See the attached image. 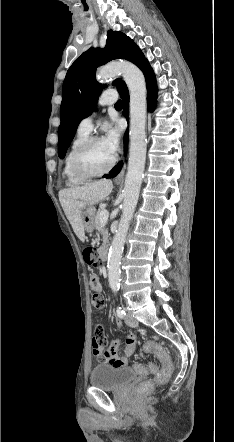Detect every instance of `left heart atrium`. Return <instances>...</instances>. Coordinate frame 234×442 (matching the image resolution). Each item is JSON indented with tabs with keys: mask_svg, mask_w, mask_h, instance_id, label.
Instances as JSON below:
<instances>
[{
	"mask_svg": "<svg viewBox=\"0 0 234 442\" xmlns=\"http://www.w3.org/2000/svg\"><path fill=\"white\" fill-rule=\"evenodd\" d=\"M119 138H120L119 127L112 124L106 125L102 141L112 155H114L118 150Z\"/></svg>",
	"mask_w": 234,
	"mask_h": 442,
	"instance_id": "obj_1",
	"label": "left heart atrium"
}]
</instances>
